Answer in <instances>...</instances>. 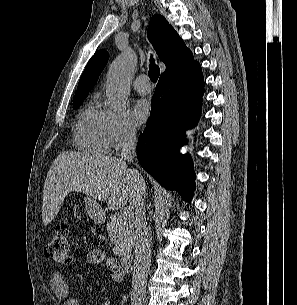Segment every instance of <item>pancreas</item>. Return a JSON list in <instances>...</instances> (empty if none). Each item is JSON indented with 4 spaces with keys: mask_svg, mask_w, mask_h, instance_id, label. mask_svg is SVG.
I'll return each instance as SVG.
<instances>
[{
    "mask_svg": "<svg viewBox=\"0 0 297 305\" xmlns=\"http://www.w3.org/2000/svg\"><path fill=\"white\" fill-rule=\"evenodd\" d=\"M107 232L114 244V254L124 256L130 254L134 245L132 218H123L122 214L111 215L107 223Z\"/></svg>",
    "mask_w": 297,
    "mask_h": 305,
    "instance_id": "pancreas-1",
    "label": "pancreas"
}]
</instances>
